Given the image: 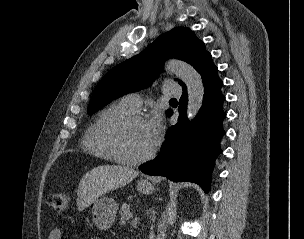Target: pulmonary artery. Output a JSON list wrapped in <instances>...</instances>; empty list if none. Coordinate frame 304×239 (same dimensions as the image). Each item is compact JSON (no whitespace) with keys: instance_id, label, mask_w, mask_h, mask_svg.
Instances as JSON below:
<instances>
[{"instance_id":"1","label":"pulmonary artery","mask_w":304,"mask_h":239,"mask_svg":"<svg viewBox=\"0 0 304 239\" xmlns=\"http://www.w3.org/2000/svg\"><path fill=\"white\" fill-rule=\"evenodd\" d=\"M163 93L169 97H179L182 89L174 82H167L163 87ZM122 101L133 111H137L142 105V99L137 93L127 94Z\"/></svg>"}]
</instances>
